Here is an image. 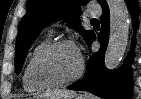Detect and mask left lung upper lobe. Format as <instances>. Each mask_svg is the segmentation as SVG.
Masks as SVG:
<instances>
[{
  "label": "left lung upper lobe",
  "instance_id": "5c2ea615",
  "mask_svg": "<svg viewBox=\"0 0 141 99\" xmlns=\"http://www.w3.org/2000/svg\"><path fill=\"white\" fill-rule=\"evenodd\" d=\"M89 0H28L27 13L21 20L16 40L15 65L16 72H20L24 58L32 42L38 37L40 31L51 22L67 19L69 27L80 24V5H85ZM103 7L106 0H98ZM79 32L88 41L93 31Z\"/></svg>",
  "mask_w": 141,
  "mask_h": 99
}]
</instances>
